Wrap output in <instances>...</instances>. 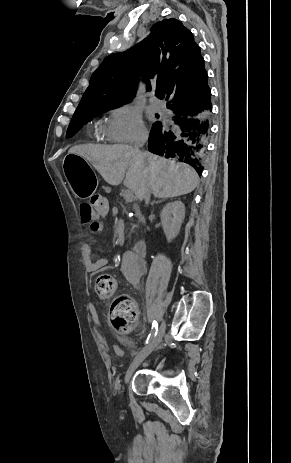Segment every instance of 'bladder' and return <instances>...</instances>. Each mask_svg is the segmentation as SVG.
Segmentation results:
<instances>
[{"instance_id":"1","label":"bladder","mask_w":291,"mask_h":463,"mask_svg":"<svg viewBox=\"0 0 291 463\" xmlns=\"http://www.w3.org/2000/svg\"><path fill=\"white\" fill-rule=\"evenodd\" d=\"M121 345L128 348L132 346L131 342L127 339L122 340Z\"/></svg>"}]
</instances>
